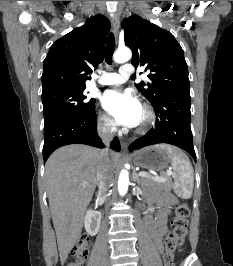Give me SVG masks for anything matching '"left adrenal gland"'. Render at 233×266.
<instances>
[{
  "label": "left adrenal gland",
  "mask_w": 233,
  "mask_h": 266,
  "mask_svg": "<svg viewBox=\"0 0 233 266\" xmlns=\"http://www.w3.org/2000/svg\"><path fill=\"white\" fill-rule=\"evenodd\" d=\"M132 179L134 182H137L138 184L141 183V180L139 178V176L137 175V172L135 170H133V175H132Z\"/></svg>",
  "instance_id": "a2214340"
}]
</instances>
